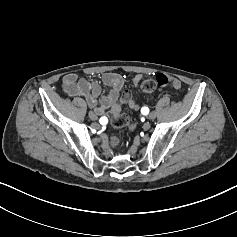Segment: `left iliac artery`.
<instances>
[{"label": "left iliac artery", "mask_w": 237, "mask_h": 237, "mask_svg": "<svg viewBox=\"0 0 237 237\" xmlns=\"http://www.w3.org/2000/svg\"><path fill=\"white\" fill-rule=\"evenodd\" d=\"M141 113H142L143 115H147V114L149 113V109H148L147 107H143V108L141 109Z\"/></svg>", "instance_id": "44dca946"}]
</instances>
